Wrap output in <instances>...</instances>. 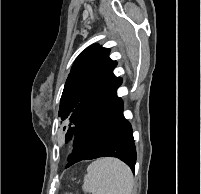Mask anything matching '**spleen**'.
Returning <instances> with one entry per match:
<instances>
[{
    "label": "spleen",
    "instance_id": "1",
    "mask_svg": "<svg viewBox=\"0 0 201 194\" xmlns=\"http://www.w3.org/2000/svg\"><path fill=\"white\" fill-rule=\"evenodd\" d=\"M82 189L91 194H132L133 175L119 159H97L88 166Z\"/></svg>",
    "mask_w": 201,
    "mask_h": 194
}]
</instances>
